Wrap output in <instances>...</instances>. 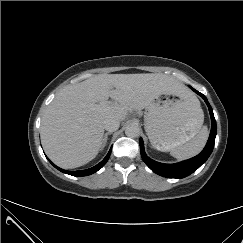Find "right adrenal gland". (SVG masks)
I'll return each mask as SVG.
<instances>
[{
	"label": "right adrenal gland",
	"instance_id": "1",
	"mask_svg": "<svg viewBox=\"0 0 243 243\" xmlns=\"http://www.w3.org/2000/svg\"><path fill=\"white\" fill-rule=\"evenodd\" d=\"M112 132H107L105 133L104 137H103V143H102V147L100 150H103V148L105 147L106 143H107V140H108V135H111Z\"/></svg>",
	"mask_w": 243,
	"mask_h": 243
}]
</instances>
